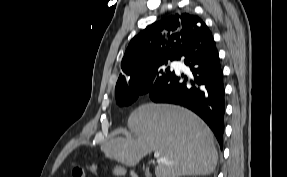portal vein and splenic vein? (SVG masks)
<instances>
[{
    "instance_id": "portal-vein-and-splenic-vein-1",
    "label": "portal vein and splenic vein",
    "mask_w": 287,
    "mask_h": 177,
    "mask_svg": "<svg viewBox=\"0 0 287 177\" xmlns=\"http://www.w3.org/2000/svg\"><path fill=\"white\" fill-rule=\"evenodd\" d=\"M154 157L157 159L158 162H163V163H166V164H171L172 162H169L163 158H160V153L158 151H155L154 152Z\"/></svg>"
}]
</instances>
